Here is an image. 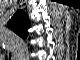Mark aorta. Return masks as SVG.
<instances>
[{
  "mask_svg": "<svg viewBox=\"0 0 80 60\" xmlns=\"http://www.w3.org/2000/svg\"><path fill=\"white\" fill-rule=\"evenodd\" d=\"M4 36L7 38L6 45L12 47L14 52H20L26 49V44L21 38L9 33Z\"/></svg>",
  "mask_w": 80,
  "mask_h": 60,
  "instance_id": "762f6f07",
  "label": "aorta"
}]
</instances>
